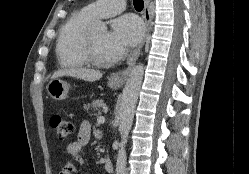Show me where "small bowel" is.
Returning a JSON list of instances; mask_svg holds the SVG:
<instances>
[{"mask_svg":"<svg viewBox=\"0 0 249 174\" xmlns=\"http://www.w3.org/2000/svg\"><path fill=\"white\" fill-rule=\"evenodd\" d=\"M93 132L92 124L89 121H83L78 131L77 140L70 142L64 150V153L69 157L59 171V174H73L82 164L80 152L88 144Z\"/></svg>","mask_w":249,"mask_h":174,"instance_id":"1","label":"small bowel"}]
</instances>
